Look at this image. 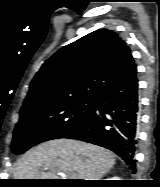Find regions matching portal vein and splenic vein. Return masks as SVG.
<instances>
[{
  "instance_id": "obj_1",
  "label": "portal vein and splenic vein",
  "mask_w": 160,
  "mask_h": 187,
  "mask_svg": "<svg viewBox=\"0 0 160 187\" xmlns=\"http://www.w3.org/2000/svg\"><path fill=\"white\" fill-rule=\"evenodd\" d=\"M69 178H70V179H76V173H74V172H73V173H70V174H69Z\"/></svg>"
}]
</instances>
